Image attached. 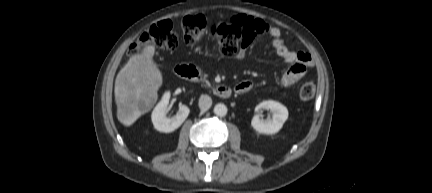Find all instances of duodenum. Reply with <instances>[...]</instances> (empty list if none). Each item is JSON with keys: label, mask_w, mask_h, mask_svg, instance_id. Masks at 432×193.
I'll use <instances>...</instances> for the list:
<instances>
[{"label": "duodenum", "mask_w": 432, "mask_h": 193, "mask_svg": "<svg viewBox=\"0 0 432 193\" xmlns=\"http://www.w3.org/2000/svg\"><path fill=\"white\" fill-rule=\"evenodd\" d=\"M174 71L178 77L185 80H189L192 82H199L202 80V75L200 71L193 65H177ZM212 90L220 98H228L232 94V89L226 85H215L213 86Z\"/></svg>", "instance_id": "duodenum-1"}]
</instances>
